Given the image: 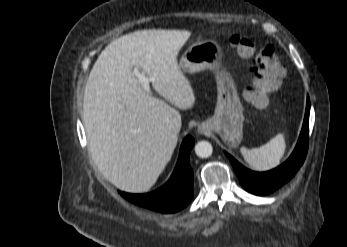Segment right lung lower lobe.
Listing matches in <instances>:
<instances>
[{"mask_svg": "<svg viewBox=\"0 0 347 247\" xmlns=\"http://www.w3.org/2000/svg\"><path fill=\"white\" fill-rule=\"evenodd\" d=\"M194 145L191 136H187L181 145L175 169L165 185L147 194H120L142 207L161 213H174L186 207L193 198V170L189 164V154Z\"/></svg>", "mask_w": 347, "mask_h": 247, "instance_id": "1", "label": "right lung lower lobe"}]
</instances>
